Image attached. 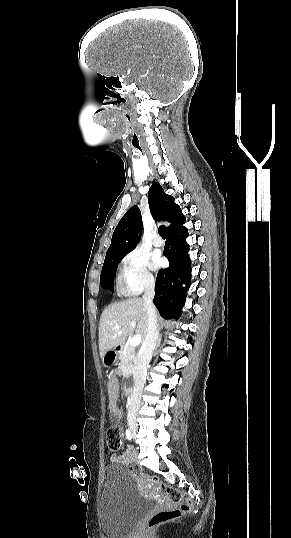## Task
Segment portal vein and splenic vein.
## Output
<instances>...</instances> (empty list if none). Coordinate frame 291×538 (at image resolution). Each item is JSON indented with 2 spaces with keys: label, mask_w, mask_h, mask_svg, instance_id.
I'll return each mask as SVG.
<instances>
[{
  "label": "portal vein and splenic vein",
  "mask_w": 291,
  "mask_h": 538,
  "mask_svg": "<svg viewBox=\"0 0 291 538\" xmlns=\"http://www.w3.org/2000/svg\"><path fill=\"white\" fill-rule=\"evenodd\" d=\"M130 325H131V326H135V323H131ZM140 343H141V336H140L139 334H136V335L133 336V338L130 340V344H131L133 347L138 346Z\"/></svg>",
  "instance_id": "1"
}]
</instances>
